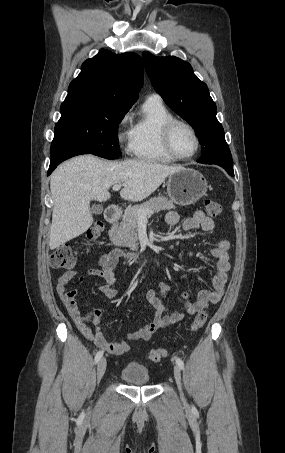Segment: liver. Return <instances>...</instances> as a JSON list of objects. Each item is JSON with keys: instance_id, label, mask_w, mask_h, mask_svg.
Segmentation results:
<instances>
[{"instance_id": "liver-1", "label": "liver", "mask_w": 285, "mask_h": 453, "mask_svg": "<svg viewBox=\"0 0 285 453\" xmlns=\"http://www.w3.org/2000/svg\"><path fill=\"white\" fill-rule=\"evenodd\" d=\"M181 168L140 159L109 161L91 155L64 162L50 178L54 202L50 249L80 236L92 225L90 201L108 200L112 185L123 184L120 196L138 202L150 196L169 175Z\"/></svg>"}]
</instances>
